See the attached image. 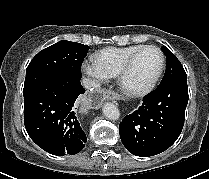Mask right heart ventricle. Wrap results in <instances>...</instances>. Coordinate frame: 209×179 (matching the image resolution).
<instances>
[{
  "mask_svg": "<svg viewBox=\"0 0 209 179\" xmlns=\"http://www.w3.org/2000/svg\"><path fill=\"white\" fill-rule=\"evenodd\" d=\"M144 46L143 44H136L107 47L93 55V63L105 77L114 78L127 59Z\"/></svg>",
  "mask_w": 209,
  "mask_h": 179,
  "instance_id": "obj_1",
  "label": "right heart ventricle"
}]
</instances>
